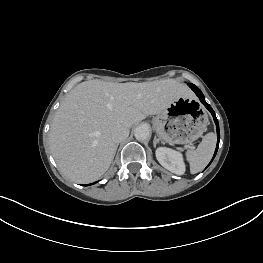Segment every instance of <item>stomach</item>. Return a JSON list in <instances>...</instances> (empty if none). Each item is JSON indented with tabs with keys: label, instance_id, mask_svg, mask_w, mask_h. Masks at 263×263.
<instances>
[{
	"label": "stomach",
	"instance_id": "1",
	"mask_svg": "<svg viewBox=\"0 0 263 263\" xmlns=\"http://www.w3.org/2000/svg\"><path fill=\"white\" fill-rule=\"evenodd\" d=\"M207 124V114L190 95L179 97L153 118V125L161 139L175 144L195 141L203 134Z\"/></svg>",
	"mask_w": 263,
	"mask_h": 263
}]
</instances>
